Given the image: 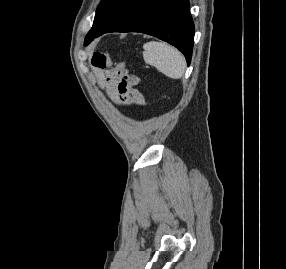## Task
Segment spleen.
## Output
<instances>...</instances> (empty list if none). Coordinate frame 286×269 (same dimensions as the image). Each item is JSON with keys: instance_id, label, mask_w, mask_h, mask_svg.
<instances>
[{"instance_id": "1", "label": "spleen", "mask_w": 286, "mask_h": 269, "mask_svg": "<svg viewBox=\"0 0 286 269\" xmlns=\"http://www.w3.org/2000/svg\"><path fill=\"white\" fill-rule=\"evenodd\" d=\"M143 49V58L146 63L170 78L179 79L183 76L186 62L177 49L156 41L145 43Z\"/></svg>"}]
</instances>
